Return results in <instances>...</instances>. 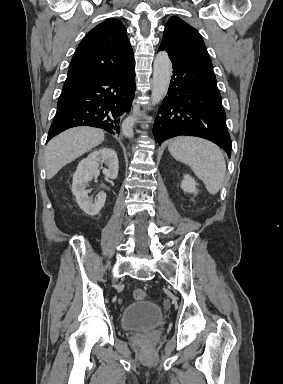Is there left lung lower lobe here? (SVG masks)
<instances>
[{
  "label": "left lung lower lobe",
  "instance_id": "obj_1",
  "mask_svg": "<svg viewBox=\"0 0 283 384\" xmlns=\"http://www.w3.org/2000/svg\"><path fill=\"white\" fill-rule=\"evenodd\" d=\"M159 50L167 51L162 44ZM168 54L173 75L153 126L155 140L161 144L179 135L202 137L218 144L230 157L231 139L212 67Z\"/></svg>",
  "mask_w": 283,
  "mask_h": 384
}]
</instances>
